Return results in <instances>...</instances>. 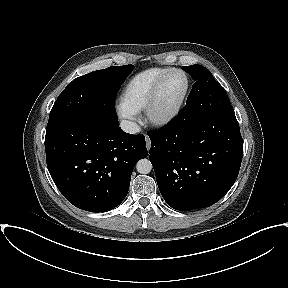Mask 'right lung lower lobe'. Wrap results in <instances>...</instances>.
<instances>
[{
    "label": "right lung lower lobe",
    "mask_w": 288,
    "mask_h": 288,
    "mask_svg": "<svg viewBox=\"0 0 288 288\" xmlns=\"http://www.w3.org/2000/svg\"><path fill=\"white\" fill-rule=\"evenodd\" d=\"M49 173L77 208L105 212L126 197L138 160L147 157L145 137L125 133L118 120L79 117L46 130Z\"/></svg>",
    "instance_id": "1"
}]
</instances>
